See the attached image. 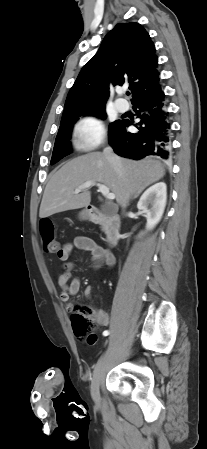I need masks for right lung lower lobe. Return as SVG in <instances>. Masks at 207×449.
I'll list each match as a JSON object with an SVG mask.
<instances>
[{"mask_svg": "<svg viewBox=\"0 0 207 449\" xmlns=\"http://www.w3.org/2000/svg\"><path fill=\"white\" fill-rule=\"evenodd\" d=\"M165 95L161 88L132 102L133 109L140 118L135 126L136 133L126 131L128 120H120L109 133V144L120 156L142 159L149 155L168 159L170 151V123L165 110Z\"/></svg>", "mask_w": 207, "mask_h": 449, "instance_id": "right-lung-lower-lobe-1", "label": "right lung lower lobe"}]
</instances>
